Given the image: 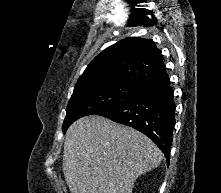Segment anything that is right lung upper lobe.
I'll return each instance as SVG.
<instances>
[{"instance_id":"1","label":"right lung upper lobe","mask_w":221,"mask_h":193,"mask_svg":"<svg viewBox=\"0 0 221 193\" xmlns=\"http://www.w3.org/2000/svg\"><path fill=\"white\" fill-rule=\"evenodd\" d=\"M165 76L163 57L155 43L150 39L128 37L97 55L74 90L118 82L143 85Z\"/></svg>"}]
</instances>
